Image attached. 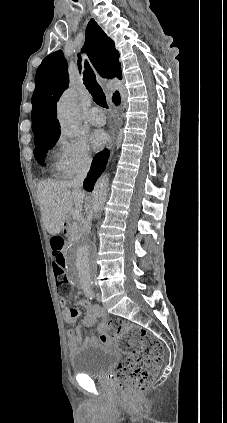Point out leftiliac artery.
<instances>
[{"label":"left iliac artery","instance_id":"left-iliac-artery-1","mask_svg":"<svg viewBox=\"0 0 227 423\" xmlns=\"http://www.w3.org/2000/svg\"><path fill=\"white\" fill-rule=\"evenodd\" d=\"M82 288H83L84 293L87 297H89L90 299L94 298V291H93V283L92 282L83 283Z\"/></svg>","mask_w":227,"mask_h":423}]
</instances>
